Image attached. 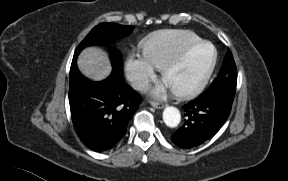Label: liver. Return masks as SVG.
<instances>
[{"label": "liver", "instance_id": "obj_1", "mask_svg": "<svg viewBox=\"0 0 288 181\" xmlns=\"http://www.w3.org/2000/svg\"><path fill=\"white\" fill-rule=\"evenodd\" d=\"M77 65L81 73L90 80L101 81L112 71L105 51L98 47H87L79 55Z\"/></svg>", "mask_w": 288, "mask_h": 181}]
</instances>
